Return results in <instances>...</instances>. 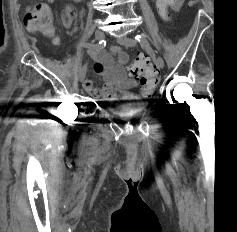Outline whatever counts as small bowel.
Returning a JSON list of instances; mask_svg holds the SVG:
<instances>
[{
    "label": "small bowel",
    "mask_w": 237,
    "mask_h": 232,
    "mask_svg": "<svg viewBox=\"0 0 237 232\" xmlns=\"http://www.w3.org/2000/svg\"><path fill=\"white\" fill-rule=\"evenodd\" d=\"M184 0H173L172 8L178 10ZM72 12L73 14H70ZM75 17V10L67 6L64 10L62 20L65 27H69ZM90 55L96 61L94 73L102 76L104 83L101 90H98L90 79L84 81V88L88 94L94 98L101 97L106 101H122L132 98L131 89L137 86L135 79L130 77L126 71V64L129 56L127 52L119 46L110 48V52H100L90 50ZM116 57V60L113 59ZM149 91L144 90L143 94Z\"/></svg>",
    "instance_id": "c3829d8e"
}]
</instances>
